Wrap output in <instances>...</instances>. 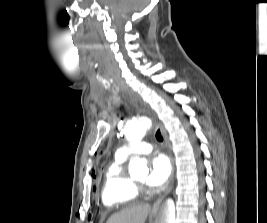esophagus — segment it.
<instances>
[{
  "mask_svg": "<svg viewBox=\"0 0 267 223\" xmlns=\"http://www.w3.org/2000/svg\"><path fill=\"white\" fill-rule=\"evenodd\" d=\"M157 127H158V129H160V131H161V134H162V137H163V139H164L165 145H166L168 148H170L169 140H168V137H167V134H166V131H165L163 125L160 124V123H158V124H157ZM172 182H173V174H172V181H171V184L169 185V187L167 188V190L165 191V193L163 194V196L160 197V198L154 203L153 208H152V212H157V211H158L159 206H160L162 200L165 198V196H166V195L171 191V189H172Z\"/></svg>",
  "mask_w": 267,
  "mask_h": 223,
  "instance_id": "34e87169",
  "label": "esophagus"
}]
</instances>
